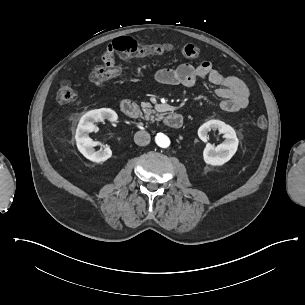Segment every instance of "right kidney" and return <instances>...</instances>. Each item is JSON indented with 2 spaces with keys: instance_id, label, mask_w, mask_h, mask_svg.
Returning a JSON list of instances; mask_svg holds the SVG:
<instances>
[{
  "instance_id": "ca27d5eb",
  "label": "right kidney",
  "mask_w": 305,
  "mask_h": 305,
  "mask_svg": "<svg viewBox=\"0 0 305 305\" xmlns=\"http://www.w3.org/2000/svg\"><path fill=\"white\" fill-rule=\"evenodd\" d=\"M104 119L115 122L118 119V115L109 108L91 110L81 117L76 131V142L79 151L87 159L97 163L106 161L112 156V151L109 147L95 151L93 146L97 144L88 136V133L94 131V123Z\"/></svg>"
}]
</instances>
